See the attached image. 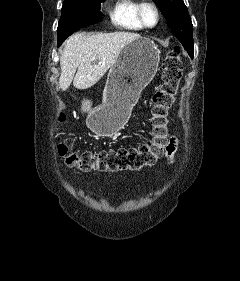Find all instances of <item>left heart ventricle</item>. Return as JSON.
Listing matches in <instances>:
<instances>
[{
  "label": "left heart ventricle",
  "mask_w": 240,
  "mask_h": 281,
  "mask_svg": "<svg viewBox=\"0 0 240 281\" xmlns=\"http://www.w3.org/2000/svg\"><path fill=\"white\" fill-rule=\"evenodd\" d=\"M144 17H145L146 22L149 24H153L156 19L155 13L150 7H147L144 10Z\"/></svg>",
  "instance_id": "b2bd125f"
}]
</instances>
